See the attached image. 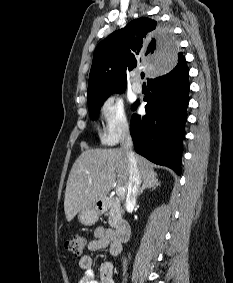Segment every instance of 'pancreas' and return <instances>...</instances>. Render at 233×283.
<instances>
[{
    "instance_id": "pancreas-1",
    "label": "pancreas",
    "mask_w": 233,
    "mask_h": 283,
    "mask_svg": "<svg viewBox=\"0 0 233 283\" xmlns=\"http://www.w3.org/2000/svg\"><path fill=\"white\" fill-rule=\"evenodd\" d=\"M122 211L120 209L119 204L113 200L112 206L109 210V225L112 228L117 226V222L121 219Z\"/></svg>"
}]
</instances>
